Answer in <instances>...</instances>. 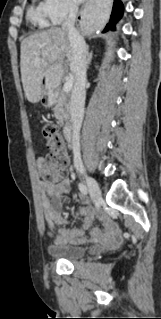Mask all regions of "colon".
I'll return each instance as SVG.
<instances>
[{
    "label": "colon",
    "mask_w": 161,
    "mask_h": 319,
    "mask_svg": "<svg viewBox=\"0 0 161 319\" xmlns=\"http://www.w3.org/2000/svg\"><path fill=\"white\" fill-rule=\"evenodd\" d=\"M42 136L46 139L52 153L43 164L44 177L48 181L61 178L67 172L70 158L63 148V137L53 124H43Z\"/></svg>",
    "instance_id": "colon-1"
}]
</instances>
